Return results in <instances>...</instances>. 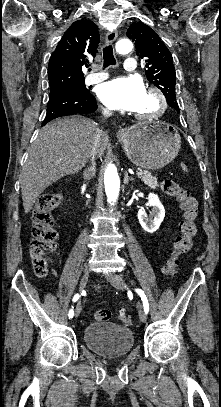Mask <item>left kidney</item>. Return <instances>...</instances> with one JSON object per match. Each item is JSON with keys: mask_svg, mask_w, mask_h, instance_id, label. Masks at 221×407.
<instances>
[{"mask_svg": "<svg viewBox=\"0 0 221 407\" xmlns=\"http://www.w3.org/2000/svg\"><path fill=\"white\" fill-rule=\"evenodd\" d=\"M147 205L152 208L151 215L154 218L148 217L144 209H140L137 216L142 228L149 233H153L163 222L165 217V209L158 196L154 193H150L148 195Z\"/></svg>", "mask_w": 221, "mask_h": 407, "instance_id": "obj_1", "label": "left kidney"}]
</instances>
